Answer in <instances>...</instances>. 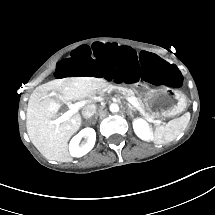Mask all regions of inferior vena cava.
I'll list each match as a JSON object with an SVG mask.
<instances>
[{
	"mask_svg": "<svg viewBox=\"0 0 215 215\" xmlns=\"http://www.w3.org/2000/svg\"><path fill=\"white\" fill-rule=\"evenodd\" d=\"M96 113V105L89 104L83 107L82 109V116L85 119L91 118Z\"/></svg>",
	"mask_w": 215,
	"mask_h": 215,
	"instance_id": "1",
	"label": "inferior vena cava"
}]
</instances>
